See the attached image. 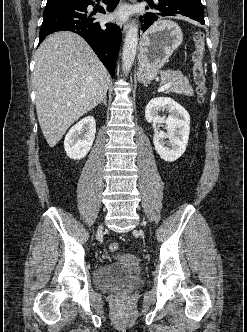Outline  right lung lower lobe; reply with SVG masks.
I'll return each instance as SVG.
<instances>
[{
	"label": "right lung lower lobe",
	"instance_id": "1",
	"mask_svg": "<svg viewBox=\"0 0 247 332\" xmlns=\"http://www.w3.org/2000/svg\"><path fill=\"white\" fill-rule=\"evenodd\" d=\"M119 0H103L108 11H113ZM94 5L91 0H55L47 2L43 23L40 28V43L51 33L58 31H72L82 36L92 47L98 58L114 77L115 65L121 44V30L115 24L101 25L94 13L89 14L87 7ZM100 13L105 14L103 7Z\"/></svg>",
	"mask_w": 247,
	"mask_h": 332
}]
</instances>
